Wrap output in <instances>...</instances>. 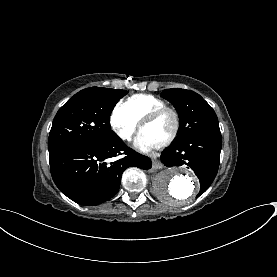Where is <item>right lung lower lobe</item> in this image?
I'll return each instance as SVG.
<instances>
[{"label":"right lung lower lobe","instance_id":"obj_1","mask_svg":"<svg viewBox=\"0 0 277 277\" xmlns=\"http://www.w3.org/2000/svg\"><path fill=\"white\" fill-rule=\"evenodd\" d=\"M122 151L126 156L114 161L113 157L122 155ZM49 160L56 186L74 202L87 206L115 196L128 167L152 166L148 157L126 147L118 136L99 143L61 147L49 152Z\"/></svg>","mask_w":277,"mask_h":277}]
</instances>
